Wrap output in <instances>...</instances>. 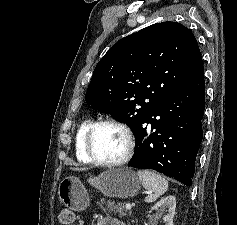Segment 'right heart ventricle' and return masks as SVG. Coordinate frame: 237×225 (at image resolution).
<instances>
[{
    "instance_id": "e07e8e85",
    "label": "right heart ventricle",
    "mask_w": 237,
    "mask_h": 225,
    "mask_svg": "<svg viewBox=\"0 0 237 225\" xmlns=\"http://www.w3.org/2000/svg\"><path fill=\"white\" fill-rule=\"evenodd\" d=\"M93 123L91 119L83 121L77 128L75 135V155L76 158L84 163H91L92 161L85 152V135L90 125Z\"/></svg>"
}]
</instances>
